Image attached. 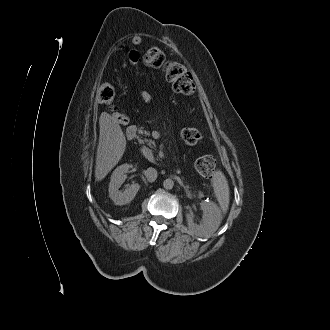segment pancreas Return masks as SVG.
<instances>
[{"label":"pancreas","mask_w":330,"mask_h":330,"mask_svg":"<svg viewBox=\"0 0 330 330\" xmlns=\"http://www.w3.org/2000/svg\"><path fill=\"white\" fill-rule=\"evenodd\" d=\"M146 142H149V143H151V141H148V140H147Z\"/></svg>","instance_id":"1"}]
</instances>
